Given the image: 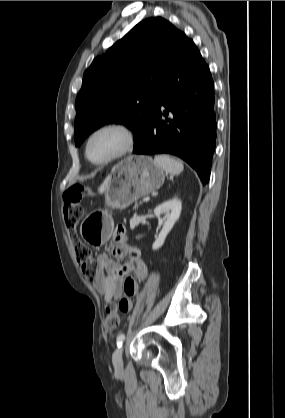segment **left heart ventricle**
<instances>
[{
  "label": "left heart ventricle",
  "instance_id": "b2bd125f",
  "mask_svg": "<svg viewBox=\"0 0 285 418\" xmlns=\"http://www.w3.org/2000/svg\"><path fill=\"white\" fill-rule=\"evenodd\" d=\"M123 142L122 135L113 130L97 134L90 142L88 152L94 161H101L116 152Z\"/></svg>",
  "mask_w": 285,
  "mask_h": 418
}]
</instances>
